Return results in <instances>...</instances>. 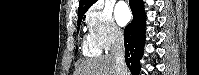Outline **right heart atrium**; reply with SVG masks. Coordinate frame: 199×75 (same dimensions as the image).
Returning <instances> with one entry per match:
<instances>
[{"mask_svg":"<svg viewBox=\"0 0 199 75\" xmlns=\"http://www.w3.org/2000/svg\"><path fill=\"white\" fill-rule=\"evenodd\" d=\"M89 33L101 49H109L123 39V32L112 13L101 6L93 7L86 16Z\"/></svg>","mask_w":199,"mask_h":75,"instance_id":"d8ad5b80","label":"right heart atrium"}]
</instances>
